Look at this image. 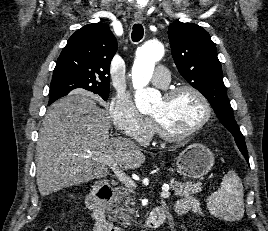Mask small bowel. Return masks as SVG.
Masks as SVG:
<instances>
[{"label":"small bowel","instance_id":"1","mask_svg":"<svg viewBox=\"0 0 268 231\" xmlns=\"http://www.w3.org/2000/svg\"><path fill=\"white\" fill-rule=\"evenodd\" d=\"M175 209L179 214H184L190 211L198 214L201 212L199 201L192 196L179 200L175 204Z\"/></svg>","mask_w":268,"mask_h":231}]
</instances>
